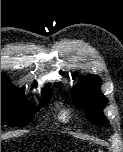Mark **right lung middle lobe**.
I'll return each instance as SVG.
<instances>
[{"instance_id": "1", "label": "right lung middle lobe", "mask_w": 123, "mask_h": 152, "mask_svg": "<svg viewBox=\"0 0 123 152\" xmlns=\"http://www.w3.org/2000/svg\"><path fill=\"white\" fill-rule=\"evenodd\" d=\"M51 94L43 95L40 105L27 103L23 95L1 87V125H26L33 120L36 112L49 101Z\"/></svg>"}]
</instances>
